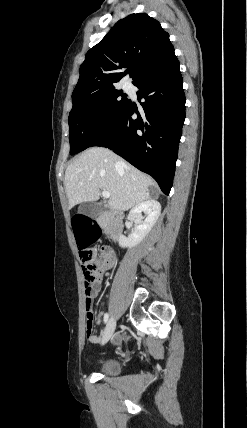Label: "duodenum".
I'll list each match as a JSON object with an SVG mask.
<instances>
[{"label": "duodenum", "instance_id": "obj_1", "mask_svg": "<svg viewBox=\"0 0 247 428\" xmlns=\"http://www.w3.org/2000/svg\"><path fill=\"white\" fill-rule=\"evenodd\" d=\"M105 223L111 239L116 242L122 233L121 217L117 213L109 211L105 215Z\"/></svg>", "mask_w": 247, "mask_h": 428}]
</instances>
